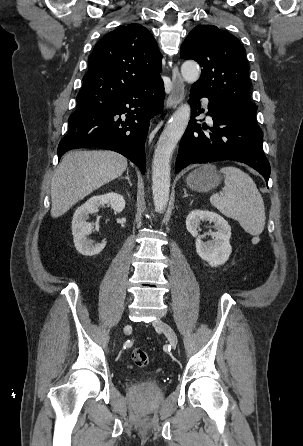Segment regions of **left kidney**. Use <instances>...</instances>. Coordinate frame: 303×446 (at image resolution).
Masks as SVG:
<instances>
[{
	"label": "left kidney",
	"mask_w": 303,
	"mask_h": 446,
	"mask_svg": "<svg viewBox=\"0 0 303 446\" xmlns=\"http://www.w3.org/2000/svg\"><path fill=\"white\" fill-rule=\"evenodd\" d=\"M209 221L214 223L215 232L209 231L212 240L203 242L198 234L201 222ZM186 228L188 232L196 238L197 254L212 267L224 264L232 252L230 245L231 227L228 222L219 214L208 210H193L186 218Z\"/></svg>",
	"instance_id": "1"
}]
</instances>
